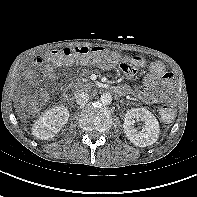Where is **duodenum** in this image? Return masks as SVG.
<instances>
[{
  "label": "duodenum",
  "instance_id": "1",
  "mask_svg": "<svg viewBox=\"0 0 197 197\" xmlns=\"http://www.w3.org/2000/svg\"><path fill=\"white\" fill-rule=\"evenodd\" d=\"M112 90H113L115 93L119 94V95H126V94L129 93V90H128L126 87H124V86H114V87L112 88ZM70 94H71V93H68V96H70Z\"/></svg>",
  "mask_w": 197,
  "mask_h": 197
}]
</instances>
